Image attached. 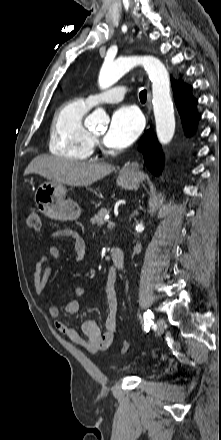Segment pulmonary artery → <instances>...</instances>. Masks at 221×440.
I'll return each mask as SVG.
<instances>
[{"instance_id":"obj_1","label":"pulmonary artery","mask_w":221,"mask_h":440,"mask_svg":"<svg viewBox=\"0 0 221 440\" xmlns=\"http://www.w3.org/2000/svg\"><path fill=\"white\" fill-rule=\"evenodd\" d=\"M128 88L125 86H117L106 92L90 95L87 97L86 101L91 106H97L101 103H116L124 99Z\"/></svg>"}]
</instances>
